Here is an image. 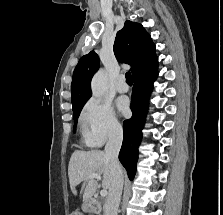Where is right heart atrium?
I'll use <instances>...</instances> for the list:
<instances>
[{
  "mask_svg": "<svg viewBox=\"0 0 223 215\" xmlns=\"http://www.w3.org/2000/svg\"><path fill=\"white\" fill-rule=\"evenodd\" d=\"M80 124L86 140L95 144H102L107 139L118 136L122 130L110 104L96 98L84 105Z\"/></svg>",
  "mask_w": 223,
  "mask_h": 215,
  "instance_id": "obj_1",
  "label": "right heart atrium"
}]
</instances>
